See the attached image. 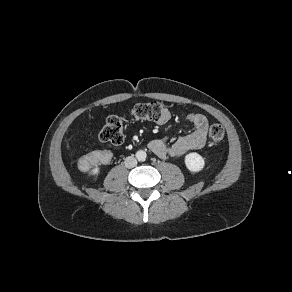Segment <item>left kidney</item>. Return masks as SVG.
Returning a JSON list of instances; mask_svg holds the SVG:
<instances>
[{"label": "left kidney", "mask_w": 292, "mask_h": 292, "mask_svg": "<svg viewBox=\"0 0 292 292\" xmlns=\"http://www.w3.org/2000/svg\"><path fill=\"white\" fill-rule=\"evenodd\" d=\"M185 165L189 171L199 172L204 168L205 162L201 155L192 152L185 156Z\"/></svg>", "instance_id": "obj_1"}]
</instances>
